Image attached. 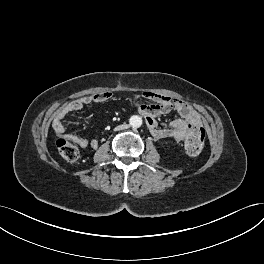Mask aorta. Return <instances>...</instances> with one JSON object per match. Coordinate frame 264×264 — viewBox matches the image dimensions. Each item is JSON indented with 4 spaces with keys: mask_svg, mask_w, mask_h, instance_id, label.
<instances>
[{
    "mask_svg": "<svg viewBox=\"0 0 264 264\" xmlns=\"http://www.w3.org/2000/svg\"><path fill=\"white\" fill-rule=\"evenodd\" d=\"M129 124L133 128H138L142 125V118L140 116L133 115L129 119Z\"/></svg>",
    "mask_w": 264,
    "mask_h": 264,
    "instance_id": "762f6f07",
    "label": "aorta"
}]
</instances>
